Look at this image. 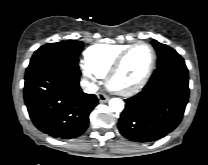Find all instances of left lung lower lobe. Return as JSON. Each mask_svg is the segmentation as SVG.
<instances>
[{"instance_id":"obj_1","label":"left lung lower lobe","mask_w":208,"mask_h":165,"mask_svg":"<svg viewBox=\"0 0 208 165\" xmlns=\"http://www.w3.org/2000/svg\"><path fill=\"white\" fill-rule=\"evenodd\" d=\"M188 84V69L181 56L159 64L143 90L125 100L120 133L132 141L149 142L173 131L188 103Z\"/></svg>"}]
</instances>
